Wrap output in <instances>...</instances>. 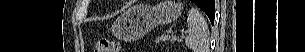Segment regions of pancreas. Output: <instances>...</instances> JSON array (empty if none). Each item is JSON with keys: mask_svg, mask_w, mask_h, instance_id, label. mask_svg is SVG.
Masks as SVG:
<instances>
[{"mask_svg": "<svg viewBox=\"0 0 305 52\" xmlns=\"http://www.w3.org/2000/svg\"><path fill=\"white\" fill-rule=\"evenodd\" d=\"M179 41L178 39H176L175 37L173 36H170V35H161L159 37L156 38L155 42L156 43H161V42H173V41Z\"/></svg>", "mask_w": 305, "mask_h": 52, "instance_id": "1", "label": "pancreas"}]
</instances>
